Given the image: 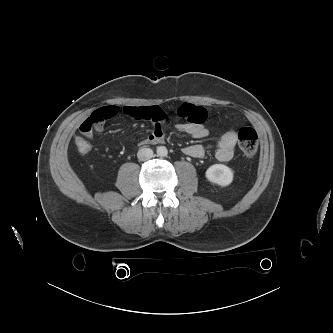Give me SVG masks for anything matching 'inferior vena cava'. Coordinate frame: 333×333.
I'll return each instance as SVG.
<instances>
[{"label": "inferior vena cava", "instance_id": "inferior-vena-cava-1", "mask_svg": "<svg viewBox=\"0 0 333 333\" xmlns=\"http://www.w3.org/2000/svg\"><path fill=\"white\" fill-rule=\"evenodd\" d=\"M153 156V151L150 148H142L137 153V157L140 161H146L151 159Z\"/></svg>", "mask_w": 333, "mask_h": 333}]
</instances>
